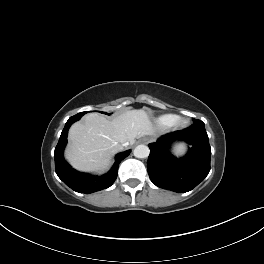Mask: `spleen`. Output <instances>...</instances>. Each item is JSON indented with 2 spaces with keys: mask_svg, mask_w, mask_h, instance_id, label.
<instances>
[{
  "mask_svg": "<svg viewBox=\"0 0 264 264\" xmlns=\"http://www.w3.org/2000/svg\"><path fill=\"white\" fill-rule=\"evenodd\" d=\"M185 150V147L183 145L179 146L178 149H177V153H183Z\"/></svg>",
  "mask_w": 264,
  "mask_h": 264,
  "instance_id": "3e777b00",
  "label": "spleen"
}]
</instances>
